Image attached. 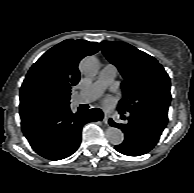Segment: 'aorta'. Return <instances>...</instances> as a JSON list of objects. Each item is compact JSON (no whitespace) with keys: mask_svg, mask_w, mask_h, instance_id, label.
<instances>
[{"mask_svg":"<svg viewBox=\"0 0 194 193\" xmlns=\"http://www.w3.org/2000/svg\"><path fill=\"white\" fill-rule=\"evenodd\" d=\"M80 70L86 76H95L99 71V62L94 56L85 57L80 63ZM106 138L113 145H119L124 140L123 132L116 127H108Z\"/></svg>","mask_w":194,"mask_h":193,"instance_id":"762f6f07","label":"aorta"}]
</instances>
